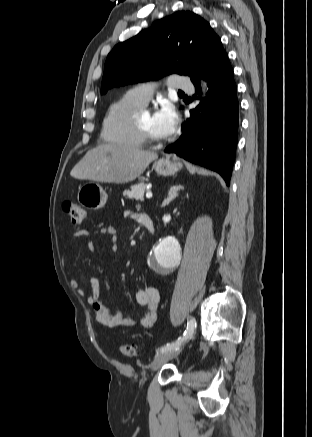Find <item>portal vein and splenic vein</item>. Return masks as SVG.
Listing matches in <instances>:
<instances>
[{
    "label": "portal vein and splenic vein",
    "mask_w": 312,
    "mask_h": 437,
    "mask_svg": "<svg viewBox=\"0 0 312 437\" xmlns=\"http://www.w3.org/2000/svg\"><path fill=\"white\" fill-rule=\"evenodd\" d=\"M146 198H148V199L152 198V193L151 192H147L146 193Z\"/></svg>",
    "instance_id": "1"
}]
</instances>
